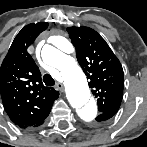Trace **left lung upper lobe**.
Masks as SVG:
<instances>
[{"label": "left lung upper lobe", "instance_id": "1", "mask_svg": "<svg viewBox=\"0 0 147 147\" xmlns=\"http://www.w3.org/2000/svg\"><path fill=\"white\" fill-rule=\"evenodd\" d=\"M77 60L97 98L100 114L119 110L124 87L123 69L105 40L88 27L67 28Z\"/></svg>", "mask_w": 147, "mask_h": 147}]
</instances>
